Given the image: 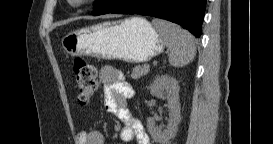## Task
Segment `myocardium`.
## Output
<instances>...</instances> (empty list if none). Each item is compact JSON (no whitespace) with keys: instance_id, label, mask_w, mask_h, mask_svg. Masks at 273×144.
Segmentation results:
<instances>
[{"instance_id":"f54148a6","label":"myocardium","mask_w":273,"mask_h":144,"mask_svg":"<svg viewBox=\"0 0 273 144\" xmlns=\"http://www.w3.org/2000/svg\"><path fill=\"white\" fill-rule=\"evenodd\" d=\"M71 2L75 5L81 6L90 2V0H71Z\"/></svg>"}]
</instances>
